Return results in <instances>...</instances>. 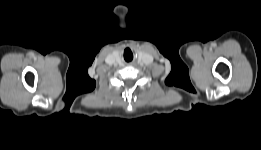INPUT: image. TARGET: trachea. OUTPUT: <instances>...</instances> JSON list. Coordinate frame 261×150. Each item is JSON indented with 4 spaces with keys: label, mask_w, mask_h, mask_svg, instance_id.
Wrapping results in <instances>:
<instances>
[{
    "label": "trachea",
    "mask_w": 261,
    "mask_h": 150,
    "mask_svg": "<svg viewBox=\"0 0 261 150\" xmlns=\"http://www.w3.org/2000/svg\"><path fill=\"white\" fill-rule=\"evenodd\" d=\"M132 57H133V55H132L131 51H130L129 49L125 50V52H124V58H125L127 61H129V60L132 59Z\"/></svg>",
    "instance_id": "obj_1"
}]
</instances>
